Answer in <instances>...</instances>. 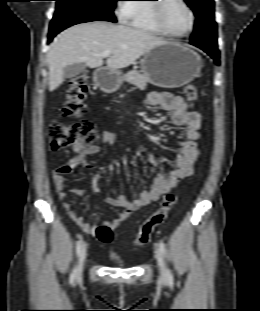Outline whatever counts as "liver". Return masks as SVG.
<instances>
[{"mask_svg":"<svg viewBox=\"0 0 260 311\" xmlns=\"http://www.w3.org/2000/svg\"><path fill=\"white\" fill-rule=\"evenodd\" d=\"M165 43L147 31L104 21L74 25L56 37L47 54L49 90L54 91L63 83L64 69L69 65L84 63L98 68L103 65V57L98 54L109 52L107 69L118 70Z\"/></svg>","mask_w":260,"mask_h":311,"instance_id":"liver-1","label":"liver"}]
</instances>
